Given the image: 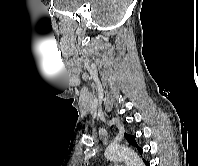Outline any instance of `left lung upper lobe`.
I'll list each match as a JSON object with an SVG mask.
<instances>
[{"instance_id": "obj_1", "label": "left lung upper lobe", "mask_w": 198, "mask_h": 166, "mask_svg": "<svg viewBox=\"0 0 198 166\" xmlns=\"http://www.w3.org/2000/svg\"><path fill=\"white\" fill-rule=\"evenodd\" d=\"M125 137L127 138L128 142H129L130 144H132V145H134V146L137 147L139 153L142 155L143 150H142V148H140V147L137 145V143H136V141H135V136L128 135V134L125 133ZM144 161H145V160H144Z\"/></svg>"}]
</instances>
